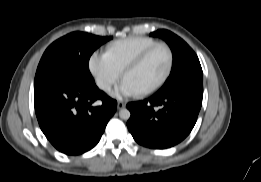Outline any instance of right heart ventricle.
Instances as JSON below:
<instances>
[{
    "instance_id": "1",
    "label": "right heart ventricle",
    "mask_w": 261,
    "mask_h": 182,
    "mask_svg": "<svg viewBox=\"0 0 261 182\" xmlns=\"http://www.w3.org/2000/svg\"><path fill=\"white\" fill-rule=\"evenodd\" d=\"M158 42L142 36H132L107 45L105 54L113 65L122 72L140 53Z\"/></svg>"
}]
</instances>
